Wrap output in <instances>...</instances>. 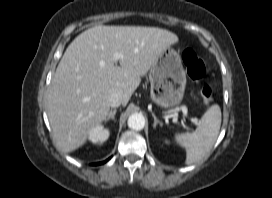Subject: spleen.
Wrapping results in <instances>:
<instances>
[{"label": "spleen", "mask_w": 272, "mask_h": 198, "mask_svg": "<svg viewBox=\"0 0 272 198\" xmlns=\"http://www.w3.org/2000/svg\"><path fill=\"white\" fill-rule=\"evenodd\" d=\"M221 126V109L212 105L201 117L195 131L175 134V141L186 149L185 164L200 161L215 144Z\"/></svg>", "instance_id": "3e777b00"}]
</instances>
